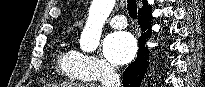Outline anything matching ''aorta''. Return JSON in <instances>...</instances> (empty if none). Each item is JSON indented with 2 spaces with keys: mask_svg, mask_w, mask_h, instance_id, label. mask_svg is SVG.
Wrapping results in <instances>:
<instances>
[{
  "mask_svg": "<svg viewBox=\"0 0 205 87\" xmlns=\"http://www.w3.org/2000/svg\"><path fill=\"white\" fill-rule=\"evenodd\" d=\"M115 5V0H93L88 12L86 25L80 37L83 51L95 50L100 42L102 29Z\"/></svg>",
  "mask_w": 205,
  "mask_h": 87,
  "instance_id": "aorta-1",
  "label": "aorta"
}]
</instances>
